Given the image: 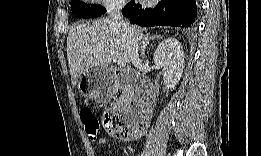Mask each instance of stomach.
<instances>
[{
  "instance_id": "obj_1",
  "label": "stomach",
  "mask_w": 261,
  "mask_h": 156,
  "mask_svg": "<svg viewBox=\"0 0 261 156\" xmlns=\"http://www.w3.org/2000/svg\"><path fill=\"white\" fill-rule=\"evenodd\" d=\"M112 75L108 67H94L84 73L78 82L80 93L86 98L99 99L112 93Z\"/></svg>"
}]
</instances>
